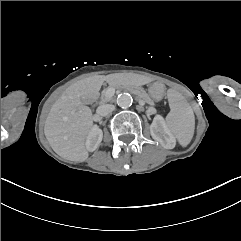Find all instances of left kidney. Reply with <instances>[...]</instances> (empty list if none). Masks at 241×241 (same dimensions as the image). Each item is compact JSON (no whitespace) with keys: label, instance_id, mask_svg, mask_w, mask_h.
<instances>
[{"label":"left kidney","instance_id":"1","mask_svg":"<svg viewBox=\"0 0 241 241\" xmlns=\"http://www.w3.org/2000/svg\"><path fill=\"white\" fill-rule=\"evenodd\" d=\"M150 133L152 138L159 142L165 149H173L175 146V140L167 129L164 120L161 116H155L152 124L150 125Z\"/></svg>","mask_w":241,"mask_h":241}]
</instances>
